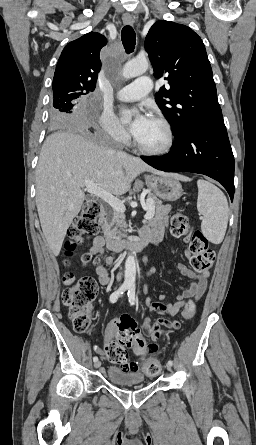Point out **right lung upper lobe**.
Listing matches in <instances>:
<instances>
[{
  "mask_svg": "<svg viewBox=\"0 0 256 445\" xmlns=\"http://www.w3.org/2000/svg\"><path fill=\"white\" fill-rule=\"evenodd\" d=\"M106 43V38L96 32L68 43L56 66L53 94L71 91L86 95L93 92L101 69L99 53Z\"/></svg>",
  "mask_w": 256,
  "mask_h": 445,
  "instance_id": "cb5924a9",
  "label": "right lung upper lobe"
}]
</instances>
